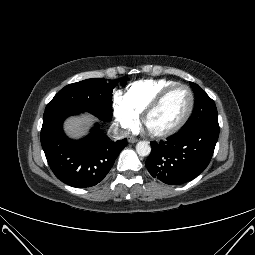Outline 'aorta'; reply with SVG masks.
I'll use <instances>...</instances> for the list:
<instances>
[{
	"mask_svg": "<svg viewBox=\"0 0 255 255\" xmlns=\"http://www.w3.org/2000/svg\"><path fill=\"white\" fill-rule=\"evenodd\" d=\"M136 152L139 156H148L151 152V147L146 141H139L136 145Z\"/></svg>",
	"mask_w": 255,
	"mask_h": 255,
	"instance_id": "762f6f07",
	"label": "aorta"
}]
</instances>
